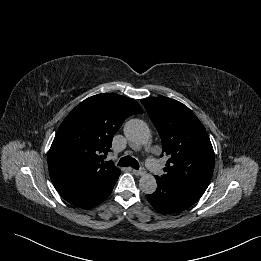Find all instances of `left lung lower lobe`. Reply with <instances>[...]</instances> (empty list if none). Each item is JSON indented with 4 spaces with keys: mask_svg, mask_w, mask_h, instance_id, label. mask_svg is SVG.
<instances>
[{
    "mask_svg": "<svg viewBox=\"0 0 261 261\" xmlns=\"http://www.w3.org/2000/svg\"><path fill=\"white\" fill-rule=\"evenodd\" d=\"M158 188L147 200L161 213H178L192 206L205 191L182 183L166 181L155 176Z\"/></svg>",
    "mask_w": 261,
    "mask_h": 261,
    "instance_id": "1",
    "label": "left lung lower lobe"
}]
</instances>
